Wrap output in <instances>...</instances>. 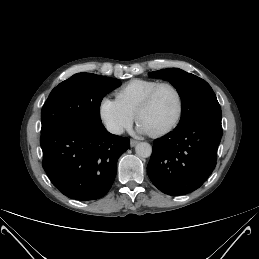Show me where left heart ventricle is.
Wrapping results in <instances>:
<instances>
[{
  "label": "left heart ventricle",
  "mask_w": 259,
  "mask_h": 259,
  "mask_svg": "<svg viewBox=\"0 0 259 259\" xmlns=\"http://www.w3.org/2000/svg\"><path fill=\"white\" fill-rule=\"evenodd\" d=\"M177 110L178 101L175 93L170 88H161L150 107L142 115L140 124L149 132L159 131L174 120Z\"/></svg>",
  "instance_id": "obj_1"
}]
</instances>
